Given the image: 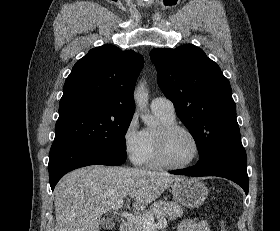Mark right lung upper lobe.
I'll return each instance as SVG.
<instances>
[{"mask_svg":"<svg viewBox=\"0 0 280 231\" xmlns=\"http://www.w3.org/2000/svg\"><path fill=\"white\" fill-rule=\"evenodd\" d=\"M143 57L106 44L81 58L67 77L59 103V118L102 115L133 117V91Z\"/></svg>","mask_w":280,"mask_h":231,"instance_id":"1","label":"right lung upper lobe"}]
</instances>
